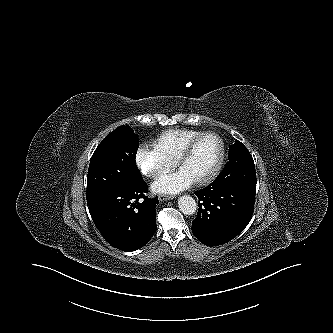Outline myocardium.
Listing matches in <instances>:
<instances>
[{
    "mask_svg": "<svg viewBox=\"0 0 333 333\" xmlns=\"http://www.w3.org/2000/svg\"><path fill=\"white\" fill-rule=\"evenodd\" d=\"M208 136H212L215 137L220 145V154L218 157V160L216 162V164L214 165L213 169L211 170V172L205 176L204 178L195 181L194 183L196 185L199 186H203V185H207L209 183H211L213 180H215V178L218 176V174L221 171V168L223 166L224 163V159H225V145L223 140L221 139V137L214 133V132H203L200 135H198L197 137H195L194 139H192L183 149V151L180 153L179 157L176 160V164L178 167H181V165L188 159V157L192 154V152L194 151L195 147L197 146V144L204 139L205 137Z\"/></svg>",
    "mask_w": 333,
    "mask_h": 333,
    "instance_id": "f54148a6",
    "label": "myocardium"
}]
</instances>
